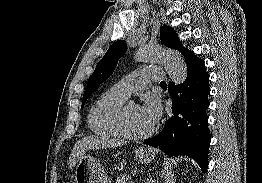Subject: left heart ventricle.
<instances>
[{
	"label": "left heart ventricle",
	"mask_w": 262,
	"mask_h": 183,
	"mask_svg": "<svg viewBox=\"0 0 262 183\" xmlns=\"http://www.w3.org/2000/svg\"><path fill=\"white\" fill-rule=\"evenodd\" d=\"M126 121L128 128L134 133H143L151 128L142 118L139 106L135 103H129L127 105Z\"/></svg>",
	"instance_id": "1"
}]
</instances>
